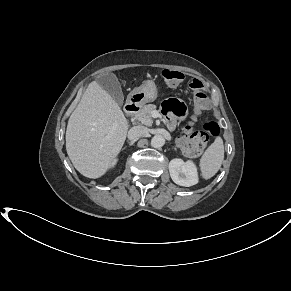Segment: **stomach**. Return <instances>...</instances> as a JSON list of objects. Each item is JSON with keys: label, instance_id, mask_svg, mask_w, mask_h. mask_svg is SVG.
<instances>
[{"label": "stomach", "instance_id": "obj_1", "mask_svg": "<svg viewBox=\"0 0 291 291\" xmlns=\"http://www.w3.org/2000/svg\"><path fill=\"white\" fill-rule=\"evenodd\" d=\"M158 96V88L153 80L145 81L140 87L132 90L128 96L130 102L136 105L154 101Z\"/></svg>", "mask_w": 291, "mask_h": 291}]
</instances>
